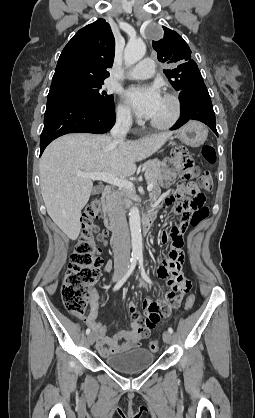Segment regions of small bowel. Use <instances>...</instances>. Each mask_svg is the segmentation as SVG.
<instances>
[{
	"mask_svg": "<svg viewBox=\"0 0 255 418\" xmlns=\"http://www.w3.org/2000/svg\"><path fill=\"white\" fill-rule=\"evenodd\" d=\"M192 161L193 156L189 154L187 147H174L171 160L167 161L164 168L162 185L168 186L172 182L180 163H192ZM188 192H190L188 187H179L174 197L165 198V205H170L175 198L180 199ZM158 197L159 191L157 190L153 193V198L157 200ZM182 225L183 221L179 227L167 228L166 233L161 235V243L170 242V247H165V255L160 258L156 273L160 279L165 281L167 291L162 300L147 298L143 301L145 316L141 325L137 321H133L129 329L121 330L112 337L107 336L106 328L97 321L98 293L95 289H90V312L86 322L93 329L97 349L103 357L123 353L137 347L142 339L148 337L150 330L160 320H170L173 311L181 309L183 300L189 296L191 276L183 272L185 262L183 236L186 234V229ZM110 269L111 263L108 261L104 270L109 271ZM130 310L131 312L135 311L133 304L130 305ZM122 340L123 342H121Z\"/></svg>",
	"mask_w": 255,
	"mask_h": 418,
	"instance_id": "small-bowel-1",
	"label": "small bowel"
}]
</instances>
